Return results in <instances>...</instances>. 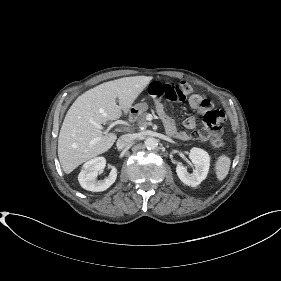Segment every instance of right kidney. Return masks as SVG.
<instances>
[{
    "label": "right kidney",
    "instance_id": "right-kidney-1",
    "mask_svg": "<svg viewBox=\"0 0 281 281\" xmlns=\"http://www.w3.org/2000/svg\"><path fill=\"white\" fill-rule=\"evenodd\" d=\"M106 165V159L104 157H96L87 161L81 169L78 175V181L82 188L100 192L108 189L117 178V169L112 166L109 176L104 180H97L99 171H101Z\"/></svg>",
    "mask_w": 281,
    "mask_h": 281
}]
</instances>
